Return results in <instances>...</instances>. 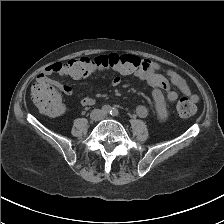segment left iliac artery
<instances>
[{"label": "left iliac artery", "instance_id": "left-iliac-artery-1", "mask_svg": "<svg viewBox=\"0 0 224 224\" xmlns=\"http://www.w3.org/2000/svg\"><path fill=\"white\" fill-rule=\"evenodd\" d=\"M110 114H111L112 116H117V115L119 114V111H118L116 108H112Z\"/></svg>", "mask_w": 224, "mask_h": 224}]
</instances>
